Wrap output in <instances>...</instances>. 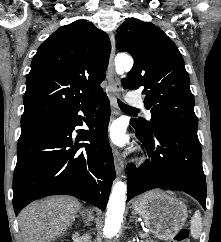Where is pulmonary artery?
I'll return each instance as SVG.
<instances>
[{
  "label": "pulmonary artery",
  "instance_id": "pulmonary-artery-1",
  "mask_svg": "<svg viewBox=\"0 0 221 242\" xmlns=\"http://www.w3.org/2000/svg\"><path fill=\"white\" fill-rule=\"evenodd\" d=\"M129 98H130L131 104H133L135 106H140V107L143 105V102L140 99H134V98L131 97V95H129ZM146 115H147L148 118L151 117V114L148 111L146 112Z\"/></svg>",
  "mask_w": 221,
  "mask_h": 242
}]
</instances>
